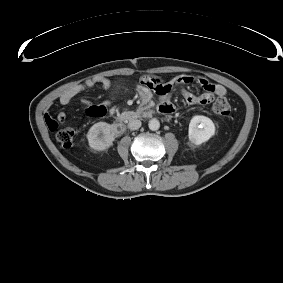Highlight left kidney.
<instances>
[{"label": "left kidney", "mask_w": 283, "mask_h": 283, "mask_svg": "<svg viewBox=\"0 0 283 283\" xmlns=\"http://www.w3.org/2000/svg\"><path fill=\"white\" fill-rule=\"evenodd\" d=\"M215 134L213 121L202 115L192 117L189 123L188 138L192 145H200Z\"/></svg>", "instance_id": "1"}]
</instances>
